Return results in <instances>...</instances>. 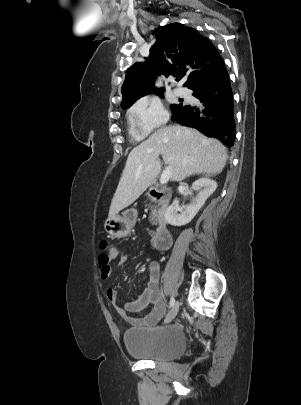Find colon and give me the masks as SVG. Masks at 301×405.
I'll use <instances>...</instances> for the list:
<instances>
[{
    "label": "colon",
    "instance_id": "1",
    "mask_svg": "<svg viewBox=\"0 0 301 405\" xmlns=\"http://www.w3.org/2000/svg\"><path fill=\"white\" fill-rule=\"evenodd\" d=\"M110 245L107 241L101 240L99 242V250H100V256L102 257H107L109 251H110Z\"/></svg>",
    "mask_w": 301,
    "mask_h": 405
}]
</instances>
